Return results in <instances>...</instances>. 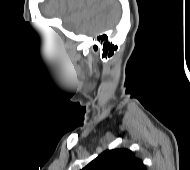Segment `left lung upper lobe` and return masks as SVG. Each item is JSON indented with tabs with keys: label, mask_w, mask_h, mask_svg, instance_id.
Instances as JSON below:
<instances>
[{
	"label": "left lung upper lobe",
	"mask_w": 190,
	"mask_h": 170,
	"mask_svg": "<svg viewBox=\"0 0 190 170\" xmlns=\"http://www.w3.org/2000/svg\"><path fill=\"white\" fill-rule=\"evenodd\" d=\"M82 170H146V167L134 152L120 148L105 151Z\"/></svg>",
	"instance_id": "5c2ea615"
}]
</instances>
